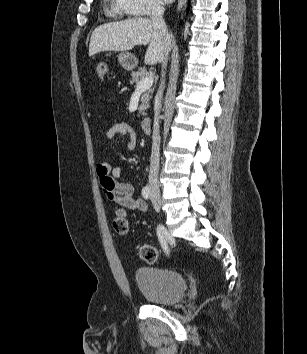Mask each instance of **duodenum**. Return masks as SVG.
<instances>
[{
  "instance_id": "410a0bca",
  "label": "duodenum",
  "mask_w": 307,
  "mask_h": 354,
  "mask_svg": "<svg viewBox=\"0 0 307 354\" xmlns=\"http://www.w3.org/2000/svg\"><path fill=\"white\" fill-rule=\"evenodd\" d=\"M140 126L144 133L150 134L152 130V121L149 117H145L141 120Z\"/></svg>"
}]
</instances>
